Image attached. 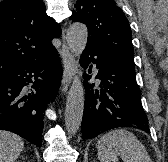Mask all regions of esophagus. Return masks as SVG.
I'll list each match as a JSON object with an SVG mask.
<instances>
[{"mask_svg":"<svg viewBox=\"0 0 168 162\" xmlns=\"http://www.w3.org/2000/svg\"><path fill=\"white\" fill-rule=\"evenodd\" d=\"M62 38H63L62 54H63L64 73H63L61 91L62 93H66L77 71V64L73 54L70 52L66 44L65 30H63Z\"/></svg>","mask_w":168,"mask_h":162,"instance_id":"34e87169","label":"esophagus"}]
</instances>
